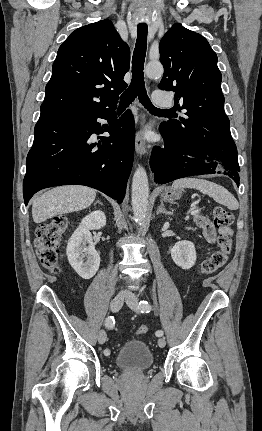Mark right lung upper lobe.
I'll return each mask as SVG.
<instances>
[{
	"instance_id": "obj_1",
	"label": "right lung upper lobe",
	"mask_w": 262,
	"mask_h": 431,
	"mask_svg": "<svg viewBox=\"0 0 262 431\" xmlns=\"http://www.w3.org/2000/svg\"><path fill=\"white\" fill-rule=\"evenodd\" d=\"M129 66L130 49L110 20L76 29L58 50L41 116L114 110Z\"/></svg>"
}]
</instances>
